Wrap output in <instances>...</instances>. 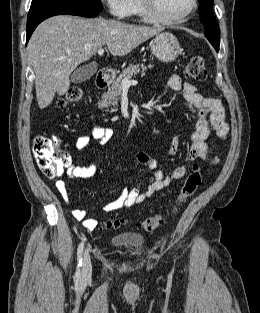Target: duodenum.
Here are the masks:
<instances>
[{"mask_svg": "<svg viewBox=\"0 0 260 313\" xmlns=\"http://www.w3.org/2000/svg\"><path fill=\"white\" fill-rule=\"evenodd\" d=\"M109 75L105 69L100 70L95 79V85L97 89H103L108 86Z\"/></svg>", "mask_w": 260, "mask_h": 313, "instance_id": "obj_1", "label": "duodenum"}]
</instances>
